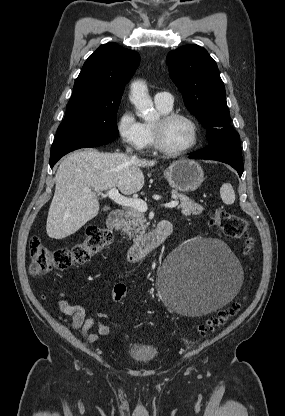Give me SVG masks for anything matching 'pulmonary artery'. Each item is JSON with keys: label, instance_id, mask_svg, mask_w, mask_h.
I'll use <instances>...</instances> for the list:
<instances>
[{"label": "pulmonary artery", "instance_id": "e3ab8cb5", "mask_svg": "<svg viewBox=\"0 0 285 416\" xmlns=\"http://www.w3.org/2000/svg\"><path fill=\"white\" fill-rule=\"evenodd\" d=\"M154 100L157 104L166 108H172L173 106V98L168 92H157L154 96Z\"/></svg>", "mask_w": 285, "mask_h": 416}]
</instances>
